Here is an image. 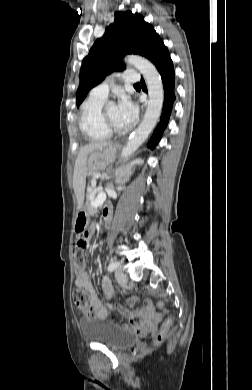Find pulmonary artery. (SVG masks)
<instances>
[{"instance_id": "e3ab8cb5", "label": "pulmonary artery", "mask_w": 252, "mask_h": 390, "mask_svg": "<svg viewBox=\"0 0 252 390\" xmlns=\"http://www.w3.org/2000/svg\"><path fill=\"white\" fill-rule=\"evenodd\" d=\"M123 78L127 82H137L139 81V74L132 70H125L123 72ZM109 92V81L105 80L102 83L95 86L90 95L97 98L106 99Z\"/></svg>"}]
</instances>
